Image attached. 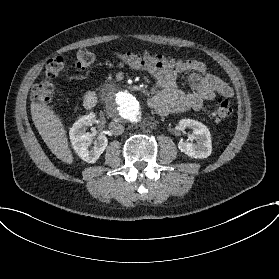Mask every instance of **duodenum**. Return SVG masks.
Masks as SVG:
<instances>
[{"mask_svg": "<svg viewBox=\"0 0 279 279\" xmlns=\"http://www.w3.org/2000/svg\"><path fill=\"white\" fill-rule=\"evenodd\" d=\"M118 87L116 86V84L114 83H107L103 86L102 88V92L104 94H108L111 93L113 91H115ZM98 102V95L96 92H88L85 97H84V101H83V105L85 107L86 110H92L95 108V106L97 105Z\"/></svg>", "mask_w": 279, "mask_h": 279, "instance_id": "410a0bca", "label": "duodenum"}]
</instances>
